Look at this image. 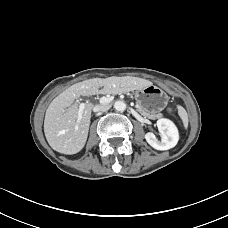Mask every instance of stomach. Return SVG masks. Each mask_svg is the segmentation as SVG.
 I'll return each instance as SVG.
<instances>
[{"mask_svg":"<svg viewBox=\"0 0 228 228\" xmlns=\"http://www.w3.org/2000/svg\"><path fill=\"white\" fill-rule=\"evenodd\" d=\"M135 100L144 113H156L166 107L168 96L161 88L150 85L136 91Z\"/></svg>","mask_w":228,"mask_h":228,"instance_id":"0dacf381","label":"stomach"}]
</instances>
